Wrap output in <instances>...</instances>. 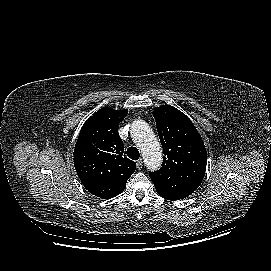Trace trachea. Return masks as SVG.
I'll return each instance as SVG.
<instances>
[{
    "label": "trachea",
    "instance_id": "obj_1",
    "mask_svg": "<svg viewBox=\"0 0 271 271\" xmlns=\"http://www.w3.org/2000/svg\"><path fill=\"white\" fill-rule=\"evenodd\" d=\"M127 156L132 160H138L140 157V153L136 147H129L127 149Z\"/></svg>",
    "mask_w": 271,
    "mask_h": 271
}]
</instances>
